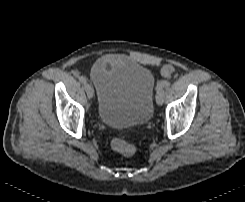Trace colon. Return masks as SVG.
<instances>
[{"mask_svg": "<svg viewBox=\"0 0 245 202\" xmlns=\"http://www.w3.org/2000/svg\"><path fill=\"white\" fill-rule=\"evenodd\" d=\"M173 73V66H167L163 69L164 76H171ZM111 147L114 151L124 156H131L136 151V146L133 142L123 138H113L111 141Z\"/></svg>", "mask_w": 245, "mask_h": 202, "instance_id": "colon-1", "label": "colon"}]
</instances>
